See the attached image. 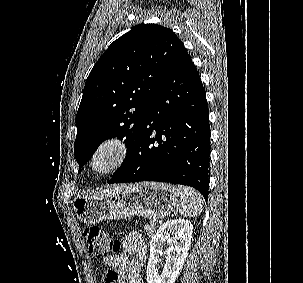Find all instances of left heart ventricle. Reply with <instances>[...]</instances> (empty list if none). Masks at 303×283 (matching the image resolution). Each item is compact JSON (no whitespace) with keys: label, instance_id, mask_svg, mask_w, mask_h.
I'll return each mask as SVG.
<instances>
[{"label":"left heart ventricle","instance_id":"b2bd125f","mask_svg":"<svg viewBox=\"0 0 303 283\" xmlns=\"http://www.w3.org/2000/svg\"><path fill=\"white\" fill-rule=\"evenodd\" d=\"M107 159H108V156H107V155L103 156V157L101 158V160H100V164H101V165L105 164L106 161H107Z\"/></svg>","mask_w":303,"mask_h":283}]
</instances>
